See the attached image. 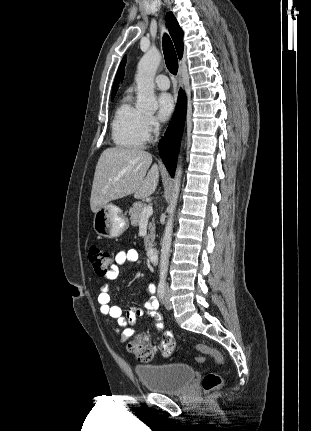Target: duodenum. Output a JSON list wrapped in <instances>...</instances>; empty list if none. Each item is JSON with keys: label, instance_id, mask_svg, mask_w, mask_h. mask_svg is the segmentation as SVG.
I'll use <instances>...</instances> for the list:
<instances>
[{"label": "duodenum", "instance_id": "obj_1", "mask_svg": "<svg viewBox=\"0 0 311 431\" xmlns=\"http://www.w3.org/2000/svg\"><path fill=\"white\" fill-rule=\"evenodd\" d=\"M147 257L152 264H156L158 262V250L156 248H150L147 250Z\"/></svg>", "mask_w": 311, "mask_h": 431}]
</instances>
